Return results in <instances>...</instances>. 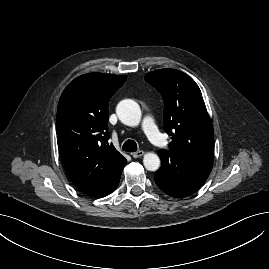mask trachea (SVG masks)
I'll return each mask as SVG.
<instances>
[{"label":"trachea","instance_id":"3493384b","mask_svg":"<svg viewBox=\"0 0 269 269\" xmlns=\"http://www.w3.org/2000/svg\"><path fill=\"white\" fill-rule=\"evenodd\" d=\"M122 150L126 152H135L137 151V144L134 140H127L124 142Z\"/></svg>","mask_w":269,"mask_h":269}]
</instances>
